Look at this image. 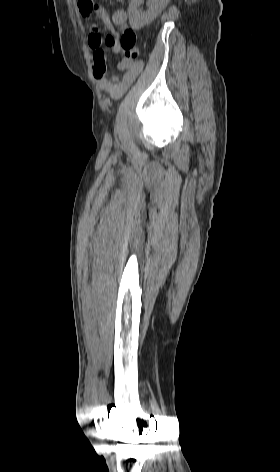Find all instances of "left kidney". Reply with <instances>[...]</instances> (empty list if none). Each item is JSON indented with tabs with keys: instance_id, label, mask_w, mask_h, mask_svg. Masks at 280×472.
Returning a JSON list of instances; mask_svg holds the SVG:
<instances>
[{
	"instance_id": "1",
	"label": "left kidney",
	"mask_w": 280,
	"mask_h": 472,
	"mask_svg": "<svg viewBox=\"0 0 280 472\" xmlns=\"http://www.w3.org/2000/svg\"><path fill=\"white\" fill-rule=\"evenodd\" d=\"M143 0H131L128 7L129 23L133 29H141L144 25L151 23L161 12L165 0H148V10L140 13L138 6Z\"/></svg>"
}]
</instances>
